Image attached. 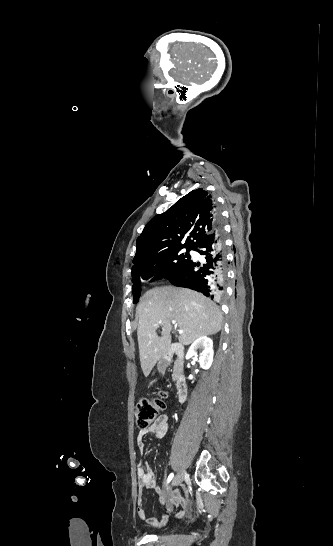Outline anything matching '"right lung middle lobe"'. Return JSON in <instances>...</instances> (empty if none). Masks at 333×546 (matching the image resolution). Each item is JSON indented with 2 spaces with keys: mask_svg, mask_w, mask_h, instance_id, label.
Instances as JSON below:
<instances>
[{
  "mask_svg": "<svg viewBox=\"0 0 333 546\" xmlns=\"http://www.w3.org/2000/svg\"><path fill=\"white\" fill-rule=\"evenodd\" d=\"M185 248L187 249L186 253L182 252V248L170 250L160 256V258L155 262L154 267L132 274L134 303L138 302L141 294L140 279H168L191 258L189 251L192 250L193 247Z\"/></svg>",
  "mask_w": 333,
  "mask_h": 546,
  "instance_id": "right-lung-middle-lobe-1",
  "label": "right lung middle lobe"
}]
</instances>
